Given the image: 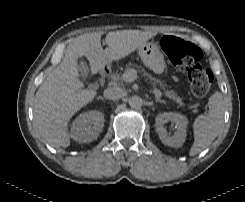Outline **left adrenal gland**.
I'll return each instance as SVG.
<instances>
[{"label": "left adrenal gland", "mask_w": 245, "mask_h": 202, "mask_svg": "<svg viewBox=\"0 0 245 202\" xmlns=\"http://www.w3.org/2000/svg\"><path fill=\"white\" fill-rule=\"evenodd\" d=\"M155 102H159V103H163V104L166 103L164 100H161V99H159V98H156V99H155Z\"/></svg>", "instance_id": "1"}]
</instances>
